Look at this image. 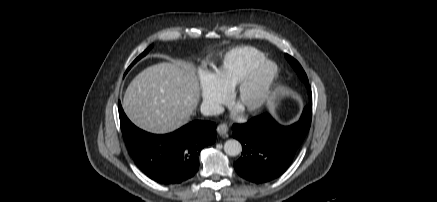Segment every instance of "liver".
Returning a JSON list of instances; mask_svg holds the SVG:
<instances>
[{"label": "liver", "mask_w": 437, "mask_h": 202, "mask_svg": "<svg viewBox=\"0 0 437 202\" xmlns=\"http://www.w3.org/2000/svg\"><path fill=\"white\" fill-rule=\"evenodd\" d=\"M199 99L194 66L186 61L163 62L144 69L131 81L122 106L137 127L164 134L186 124Z\"/></svg>", "instance_id": "6515ba94"}]
</instances>
